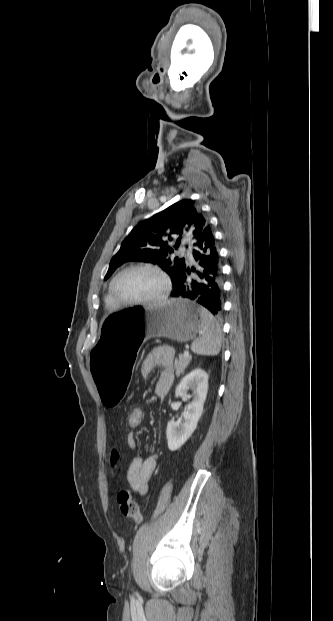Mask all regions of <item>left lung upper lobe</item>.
Returning a JSON list of instances; mask_svg holds the SVG:
<instances>
[{
    "label": "left lung upper lobe",
    "mask_w": 333,
    "mask_h": 621,
    "mask_svg": "<svg viewBox=\"0 0 333 621\" xmlns=\"http://www.w3.org/2000/svg\"><path fill=\"white\" fill-rule=\"evenodd\" d=\"M208 225L207 219L194 205L193 200L184 199L151 218L140 222L122 242L120 250L110 261L105 280L123 263L141 261L157 264L172 279L174 285L177 273L185 269V259H170V254L180 245L182 238H191L192 246ZM177 238L174 248L168 246L165 238Z\"/></svg>",
    "instance_id": "5c2ea615"
}]
</instances>
